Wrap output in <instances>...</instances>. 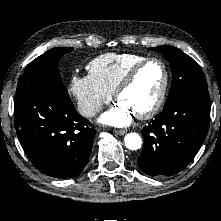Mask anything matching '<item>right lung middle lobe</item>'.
Returning <instances> with one entry per match:
<instances>
[{
    "mask_svg": "<svg viewBox=\"0 0 221 221\" xmlns=\"http://www.w3.org/2000/svg\"><path fill=\"white\" fill-rule=\"evenodd\" d=\"M72 50L63 47L53 48L33 60L19 78L15 103L41 93L70 99L67 89L62 84L58 64L60 58Z\"/></svg>",
    "mask_w": 221,
    "mask_h": 221,
    "instance_id": "right-lung-middle-lobe-1",
    "label": "right lung middle lobe"
}]
</instances>
